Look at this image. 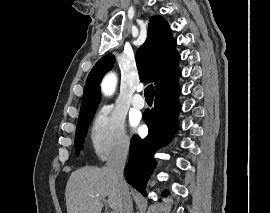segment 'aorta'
<instances>
[{"instance_id": "762f6f07", "label": "aorta", "mask_w": 270, "mask_h": 213, "mask_svg": "<svg viewBox=\"0 0 270 213\" xmlns=\"http://www.w3.org/2000/svg\"><path fill=\"white\" fill-rule=\"evenodd\" d=\"M117 78L114 73L108 74L102 82V91L105 95H111L116 87Z\"/></svg>"}]
</instances>
